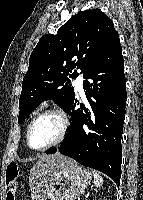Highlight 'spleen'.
<instances>
[{"label":"spleen","instance_id":"1","mask_svg":"<svg viewBox=\"0 0 143 200\" xmlns=\"http://www.w3.org/2000/svg\"><path fill=\"white\" fill-rule=\"evenodd\" d=\"M92 174L95 186L100 187L103 184V178L96 171H92Z\"/></svg>","mask_w":143,"mask_h":200}]
</instances>
